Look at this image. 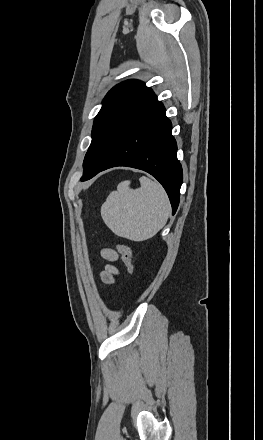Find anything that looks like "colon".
Returning a JSON list of instances; mask_svg holds the SVG:
<instances>
[{
  "mask_svg": "<svg viewBox=\"0 0 263 440\" xmlns=\"http://www.w3.org/2000/svg\"><path fill=\"white\" fill-rule=\"evenodd\" d=\"M117 250L121 255L122 261L129 275L132 276L135 271V266H134L131 248L127 244L120 243L117 245Z\"/></svg>",
  "mask_w": 263,
  "mask_h": 440,
  "instance_id": "5ec220e1",
  "label": "colon"
}]
</instances>
